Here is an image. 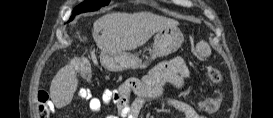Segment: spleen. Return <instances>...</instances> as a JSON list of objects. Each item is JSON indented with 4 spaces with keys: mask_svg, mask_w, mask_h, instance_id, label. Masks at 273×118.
Here are the masks:
<instances>
[{
    "mask_svg": "<svg viewBox=\"0 0 273 118\" xmlns=\"http://www.w3.org/2000/svg\"><path fill=\"white\" fill-rule=\"evenodd\" d=\"M196 50L203 57H209L211 55L210 46L208 45V43H206L204 41H200L196 45Z\"/></svg>",
    "mask_w": 273,
    "mask_h": 118,
    "instance_id": "3e777b00",
    "label": "spleen"
}]
</instances>
